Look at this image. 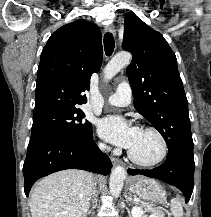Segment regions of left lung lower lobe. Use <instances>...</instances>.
Returning a JSON list of instances; mask_svg holds the SVG:
<instances>
[{
  "label": "left lung lower lobe",
  "mask_w": 211,
  "mask_h": 217,
  "mask_svg": "<svg viewBox=\"0 0 211 217\" xmlns=\"http://www.w3.org/2000/svg\"><path fill=\"white\" fill-rule=\"evenodd\" d=\"M194 168L193 150L177 147L168 150L166 161L161 166L151 170L128 169V173L156 178L177 187L187 203L194 187Z\"/></svg>",
  "instance_id": "obj_1"
}]
</instances>
